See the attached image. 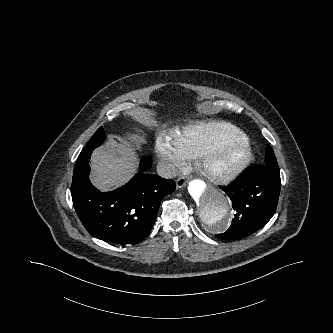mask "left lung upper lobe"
Listing matches in <instances>:
<instances>
[{
    "label": "left lung upper lobe",
    "mask_w": 333,
    "mask_h": 333,
    "mask_svg": "<svg viewBox=\"0 0 333 333\" xmlns=\"http://www.w3.org/2000/svg\"><path fill=\"white\" fill-rule=\"evenodd\" d=\"M264 166L268 167L270 170L274 172H279L277 160L273 151H266Z\"/></svg>",
    "instance_id": "5c2ea615"
}]
</instances>
